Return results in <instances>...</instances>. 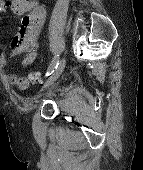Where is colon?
Listing matches in <instances>:
<instances>
[{
	"instance_id": "obj_1",
	"label": "colon",
	"mask_w": 143,
	"mask_h": 170,
	"mask_svg": "<svg viewBox=\"0 0 143 170\" xmlns=\"http://www.w3.org/2000/svg\"><path fill=\"white\" fill-rule=\"evenodd\" d=\"M28 79L32 84H40L43 82V75L39 71H32Z\"/></svg>"
}]
</instances>
